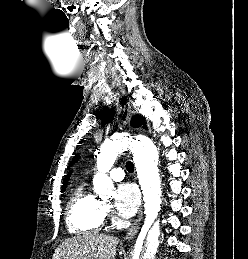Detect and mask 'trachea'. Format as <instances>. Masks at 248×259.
Segmentation results:
<instances>
[{
    "mask_svg": "<svg viewBox=\"0 0 248 259\" xmlns=\"http://www.w3.org/2000/svg\"><path fill=\"white\" fill-rule=\"evenodd\" d=\"M126 169H127V171L128 172H133L134 171V165H133V163L132 162H127V164H126Z\"/></svg>",
    "mask_w": 248,
    "mask_h": 259,
    "instance_id": "1",
    "label": "trachea"
}]
</instances>
